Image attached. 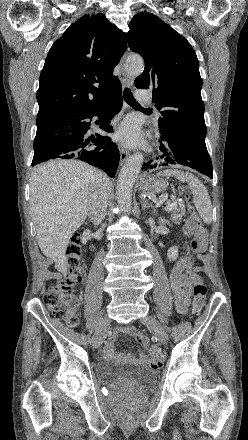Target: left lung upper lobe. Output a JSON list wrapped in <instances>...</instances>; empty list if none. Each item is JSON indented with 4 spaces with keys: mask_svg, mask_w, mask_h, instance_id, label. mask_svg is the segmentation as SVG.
I'll use <instances>...</instances> for the list:
<instances>
[{
    "mask_svg": "<svg viewBox=\"0 0 248 440\" xmlns=\"http://www.w3.org/2000/svg\"><path fill=\"white\" fill-rule=\"evenodd\" d=\"M128 32V46L145 61L135 79L141 89L153 87L152 100L161 111L160 133L175 132L205 141L204 103L199 62L191 44L170 25L148 12L135 15Z\"/></svg>",
    "mask_w": 248,
    "mask_h": 440,
    "instance_id": "obj_1",
    "label": "left lung upper lobe"
}]
</instances>
